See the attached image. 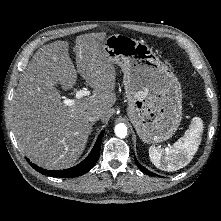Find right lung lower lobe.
Returning a JSON list of instances; mask_svg holds the SVG:
<instances>
[{"label":"right lung lower lobe","instance_id":"98d812e1","mask_svg":"<svg viewBox=\"0 0 221 221\" xmlns=\"http://www.w3.org/2000/svg\"><path fill=\"white\" fill-rule=\"evenodd\" d=\"M104 132L105 130H103L100 133L90 154L81 163H79L78 165L72 168L60 170V171H51V170H46V169L36 166L35 164L29 162L28 159L27 161L36 171H38L39 173H42L43 175L61 177V178H71V177L81 176L85 174L86 172H88L90 169H92L95 166L96 162L98 161L99 152L101 149V140L104 136Z\"/></svg>","mask_w":221,"mask_h":221}]
</instances>
